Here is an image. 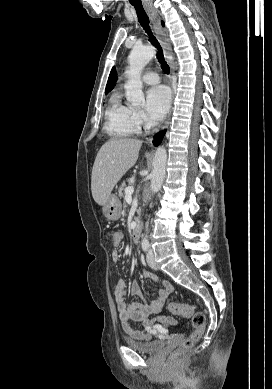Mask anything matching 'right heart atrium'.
Listing matches in <instances>:
<instances>
[{"instance_id":"d8ad5b80","label":"right heart atrium","mask_w":272,"mask_h":389,"mask_svg":"<svg viewBox=\"0 0 272 389\" xmlns=\"http://www.w3.org/2000/svg\"><path fill=\"white\" fill-rule=\"evenodd\" d=\"M133 116L137 127L148 125V121L142 111L134 110Z\"/></svg>"}]
</instances>
